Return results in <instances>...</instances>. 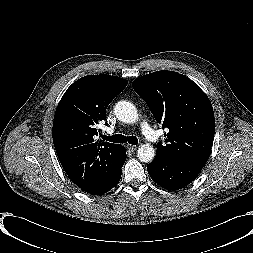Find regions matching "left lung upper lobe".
Segmentation results:
<instances>
[{"mask_svg":"<svg viewBox=\"0 0 253 253\" xmlns=\"http://www.w3.org/2000/svg\"><path fill=\"white\" fill-rule=\"evenodd\" d=\"M158 123L169 132L166 145L157 144L156 157L205 164L210 155L215 119L207 95L186 76L157 71L133 81Z\"/></svg>","mask_w":253,"mask_h":253,"instance_id":"5c2ea615","label":"left lung upper lobe"}]
</instances>
